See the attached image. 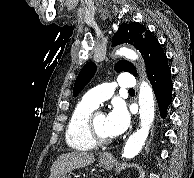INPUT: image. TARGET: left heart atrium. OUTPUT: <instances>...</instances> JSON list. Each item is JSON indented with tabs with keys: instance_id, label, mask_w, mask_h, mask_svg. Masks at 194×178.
Returning <instances> with one entry per match:
<instances>
[{
	"instance_id": "1",
	"label": "left heart atrium",
	"mask_w": 194,
	"mask_h": 178,
	"mask_svg": "<svg viewBox=\"0 0 194 178\" xmlns=\"http://www.w3.org/2000/svg\"><path fill=\"white\" fill-rule=\"evenodd\" d=\"M130 123V117L122 104H116L107 114L105 129L109 136L115 137L126 131Z\"/></svg>"
}]
</instances>
